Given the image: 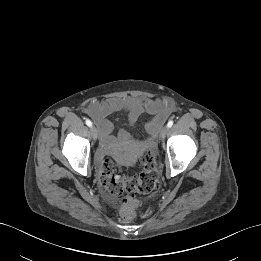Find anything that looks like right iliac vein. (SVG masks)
Masks as SVG:
<instances>
[{"mask_svg": "<svg viewBox=\"0 0 261 261\" xmlns=\"http://www.w3.org/2000/svg\"><path fill=\"white\" fill-rule=\"evenodd\" d=\"M90 132H91L92 138H93L94 140H96L97 137H98V130H97V128H96L95 126H91Z\"/></svg>", "mask_w": 261, "mask_h": 261, "instance_id": "right-iliac-vein-1", "label": "right iliac vein"}]
</instances>
